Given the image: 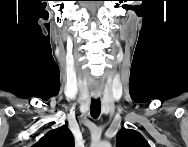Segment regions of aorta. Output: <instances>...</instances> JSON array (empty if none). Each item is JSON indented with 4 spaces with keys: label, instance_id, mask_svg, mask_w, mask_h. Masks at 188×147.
I'll return each instance as SVG.
<instances>
[{
    "label": "aorta",
    "instance_id": "aorta-1",
    "mask_svg": "<svg viewBox=\"0 0 188 147\" xmlns=\"http://www.w3.org/2000/svg\"><path fill=\"white\" fill-rule=\"evenodd\" d=\"M99 146H101V147H109L110 143L105 141V142L100 143Z\"/></svg>",
    "mask_w": 188,
    "mask_h": 147
}]
</instances>
